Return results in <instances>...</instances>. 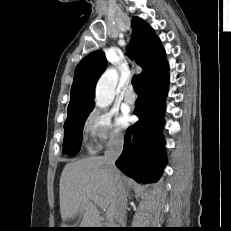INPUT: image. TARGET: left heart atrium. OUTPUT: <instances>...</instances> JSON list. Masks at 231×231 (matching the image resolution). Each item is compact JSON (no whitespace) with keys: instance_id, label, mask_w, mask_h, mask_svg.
I'll list each match as a JSON object with an SVG mask.
<instances>
[{"instance_id":"39dd6f15","label":"left heart atrium","mask_w":231,"mask_h":231,"mask_svg":"<svg viewBox=\"0 0 231 231\" xmlns=\"http://www.w3.org/2000/svg\"><path fill=\"white\" fill-rule=\"evenodd\" d=\"M131 120V117L128 113H124L120 118H119V123L122 126H127Z\"/></svg>"}]
</instances>
